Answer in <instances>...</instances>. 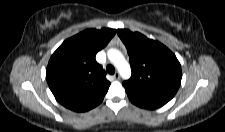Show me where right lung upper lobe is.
<instances>
[{
  "label": "right lung upper lobe",
  "mask_w": 225,
  "mask_h": 132,
  "mask_svg": "<svg viewBox=\"0 0 225 132\" xmlns=\"http://www.w3.org/2000/svg\"><path fill=\"white\" fill-rule=\"evenodd\" d=\"M116 30L87 29L64 41L51 56L46 80L56 100L68 109L85 112L100 104L110 82L95 60Z\"/></svg>",
  "instance_id": "right-lung-upper-lobe-1"
}]
</instances>
